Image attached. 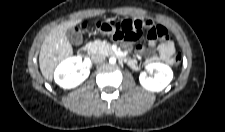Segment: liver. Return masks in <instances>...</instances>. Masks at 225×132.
<instances>
[{
    "mask_svg": "<svg viewBox=\"0 0 225 132\" xmlns=\"http://www.w3.org/2000/svg\"><path fill=\"white\" fill-rule=\"evenodd\" d=\"M82 18L61 23L46 36L39 54V66L42 75L49 82L53 79L55 67L73 54L72 46L66 36L68 29L79 24Z\"/></svg>",
    "mask_w": 225,
    "mask_h": 132,
    "instance_id": "1",
    "label": "liver"
}]
</instances>
